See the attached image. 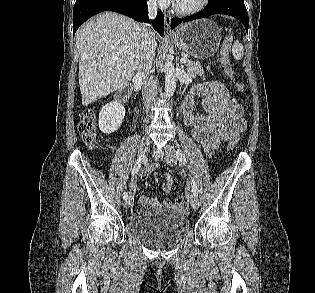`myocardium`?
<instances>
[{
    "instance_id": "obj_1",
    "label": "myocardium",
    "mask_w": 315,
    "mask_h": 293,
    "mask_svg": "<svg viewBox=\"0 0 315 293\" xmlns=\"http://www.w3.org/2000/svg\"><path fill=\"white\" fill-rule=\"evenodd\" d=\"M209 0H200L199 4L191 7V8H183L181 6H179L174 0L172 2V7L173 9L179 13V14H183V15H192V14H196L200 11H202L207 5H208Z\"/></svg>"
}]
</instances>
